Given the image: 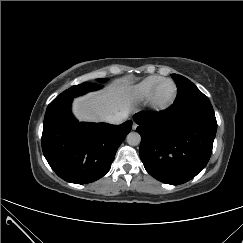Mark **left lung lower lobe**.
<instances>
[{
  "label": "left lung lower lobe",
  "instance_id": "1",
  "mask_svg": "<svg viewBox=\"0 0 243 243\" xmlns=\"http://www.w3.org/2000/svg\"><path fill=\"white\" fill-rule=\"evenodd\" d=\"M180 89L174 103L160 112H140L133 119L141 135L140 158L146 171L157 180L183 184L207 165L217 130L215 115L185 111Z\"/></svg>",
  "mask_w": 243,
  "mask_h": 243
}]
</instances>
